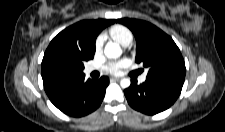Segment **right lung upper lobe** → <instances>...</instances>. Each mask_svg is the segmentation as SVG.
<instances>
[{"label":"right lung upper lobe","mask_w":225,"mask_h":132,"mask_svg":"<svg viewBox=\"0 0 225 132\" xmlns=\"http://www.w3.org/2000/svg\"><path fill=\"white\" fill-rule=\"evenodd\" d=\"M114 22L115 20L111 19L83 20L66 28L54 39H67L80 52H95L96 37L106 26L111 25ZM71 77L73 76L53 75L42 68L44 88H48Z\"/></svg>","instance_id":"right-lung-upper-lobe-1"}]
</instances>
